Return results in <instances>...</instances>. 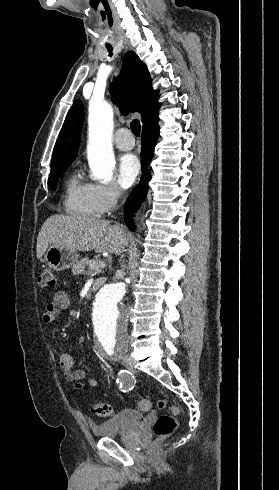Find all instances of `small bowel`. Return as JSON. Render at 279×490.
Here are the masks:
<instances>
[{
  "mask_svg": "<svg viewBox=\"0 0 279 490\" xmlns=\"http://www.w3.org/2000/svg\"><path fill=\"white\" fill-rule=\"evenodd\" d=\"M70 306V298L66 292L59 291L56 292L52 298L51 303H49L44 312L43 318L46 322L51 321L55 316L62 310L68 309ZM84 337L78 336L72 340L66 349H64L59 356V365L63 371V376L68 382H75L76 388H81V384L78 381L85 378V371L82 369L73 370V360L71 351L83 344ZM97 368V367H96ZM87 383L91 387H96L98 381L96 379H88Z\"/></svg>",
  "mask_w": 279,
  "mask_h": 490,
  "instance_id": "1",
  "label": "small bowel"
}]
</instances>
